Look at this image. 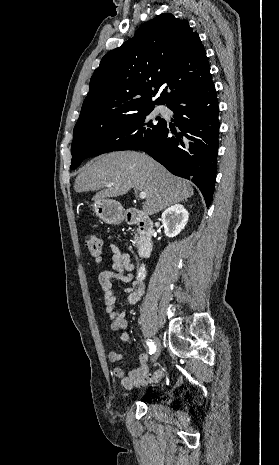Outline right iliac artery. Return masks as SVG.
<instances>
[{
	"instance_id": "right-iliac-artery-1",
	"label": "right iliac artery",
	"mask_w": 279,
	"mask_h": 465,
	"mask_svg": "<svg viewBox=\"0 0 279 465\" xmlns=\"http://www.w3.org/2000/svg\"><path fill=\"white\" fill-rule=\"evenodd\" d=\"M147 345L149 346L150 354H153L156 351V347L153 342L147 341Z\"/></svg>"
}]
</instances>
